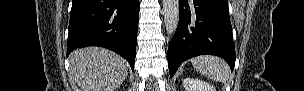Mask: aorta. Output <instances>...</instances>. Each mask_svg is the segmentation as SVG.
Segmentation results:
<instances>
[{
  "label": "aorta",
  "instance_id": "aorta-1",
  "mask_svg": "<svg viewBox=\"0 0 304 91\" xmlns=\"http://www.w3.org/2000/svg\"><path fill=\"white\" fill-rule=\"evenodd\" d=\"M164 24L168 35H173L179 22V0H163Z\"/></svg>",
  "mask_w": 304,
  "mask_h": 91
}]
</instances>
